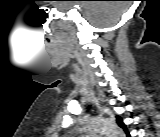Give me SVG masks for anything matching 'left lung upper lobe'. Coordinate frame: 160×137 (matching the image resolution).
<instances>
[{
  "label": "left lung upper lobe",
  "instance_id": "1",
  "mask_svg": "<svg viewBox=\"0 0 160 137\" xmlns=\"http://www.w3.org/2000/svg\"><path fill=\"white\" fill-rule=\"evenodd\" d=\"M117 123H118V125H119L121 128H123L125 131L127 130L125 124L123 123L122 119H121L119 116H117Z\"/></svg>",
  "mask_w": 160,
  "mask_h": 137
}]
</instances>
